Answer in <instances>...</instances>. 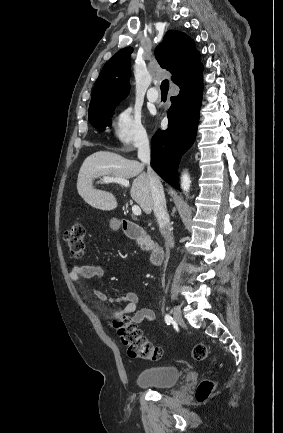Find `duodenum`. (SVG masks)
I'll return each instance as SVG.
<instances>
[{
  "instance_id": "duodenum-1",
  "label": "duodenum",
  "mask_w": 283,
  "mask_h": 433,
  "mask_svg": "<svg viewBox=\"0 0 283 433\" xmlns=\"http://www.w3.org/2000/svg\"><path fill=\"white\" fill-rule=\"evenodd\" d=\"M122 227L128 238L136 240L141 245L151 249L150 261L153 265H160L163 262L164 250L162 246L156 243L145 229L129 220H124Z\"/></svg>"
}]
</instances>
